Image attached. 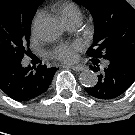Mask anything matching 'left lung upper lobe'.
Segmentation results:
<instances>
[{
    "label": "left lung upper lobe",
    "instance_id": "obj_1",
    "mask_svg": "<svg viewBox=\"0 0 135 135\" xmlns=\"http://www.w3.org/2000/svg\"><path fill=\"white\" fill-rule=\"evenodd\" d=\"M94 17V41L87 54L95 58L135 60V10L125 0H74Z\"/></svg>",
    "mask_w": 135,
    "mask_h": 135
}]
</instances>
